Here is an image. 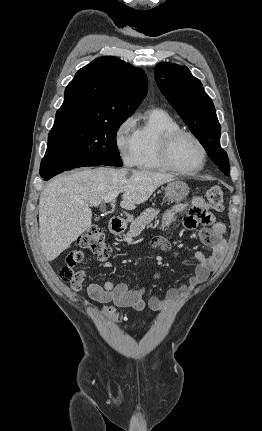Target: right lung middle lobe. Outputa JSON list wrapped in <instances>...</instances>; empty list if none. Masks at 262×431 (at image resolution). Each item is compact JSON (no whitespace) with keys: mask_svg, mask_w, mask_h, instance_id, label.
<instances>
[{"mask_svg":"<svg viewBox=\"0 0 262 431\" xmlns=\"http://www.w3.org/2000/svg\"><path fill=\"white\" fill-rule=\"evenodd\" d=\"M125 120H78L54 125L44 159H76L122 166L116 133Z\"/></svg>","mask_w":262,"mask_h":431,"instance_id":"dd1d6c3e","label":"right lung middle lobe"}]
</instances>
